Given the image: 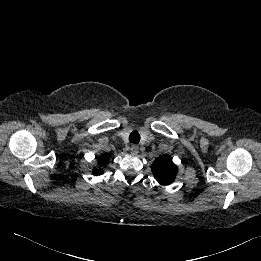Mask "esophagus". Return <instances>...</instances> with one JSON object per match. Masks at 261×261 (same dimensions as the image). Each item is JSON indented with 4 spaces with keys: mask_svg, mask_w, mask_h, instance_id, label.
I'll return each instance as SVG.
<instances>
[{
    "mask_svg": "<svg viewBox=\"0 0 261 261\" xmlns=\"http://www.w3.org/2000/svg\"><path fill=\"white\" fill-rule=\"evenodd\" d=\"M130 151L133 155H137L139 152V146L136 144L131 145Z\"/></svg>",
    "mask_w": 261,
    "mask_h": 261,
    "instance_id": "obj_1",
    "label": "esophagus"
}]
</instances>
